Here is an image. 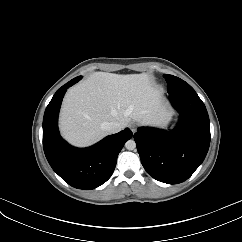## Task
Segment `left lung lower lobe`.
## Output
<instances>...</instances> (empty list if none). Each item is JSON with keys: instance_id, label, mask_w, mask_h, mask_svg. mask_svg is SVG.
I'll return each instance as SVG.
<instances>
[{"instance_id": "obj_1", "label": "left lung lower lobe", "mask_w": 242, "mask_h": 242, "mask_svg": "<svg viewBox=\"0 0 242 242\" xmlns=\"http://www.w3.org/2000/svg\"><path fill=\"white\" fill-rule=\"evenodd\" d=\"M168 94L180 114L176 127L172 131L140 127L134 139L145 170L158 181L177 184L203 162L210 145V122L194 90H168Z\"/></svg>"}]
</instances>
